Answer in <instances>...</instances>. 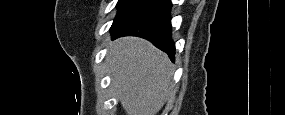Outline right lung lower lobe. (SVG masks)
<instances>
[{
	"label": "right lung lower lobe",
	"mask_w": 285,
	"mask_h": 115,
	"mask_svg": "<svg viewBox=\"0 0 285 115\" xmlns=\"http://www.w3.org/2000/svg\"><path fill=\"white\" fill-rule=\"evenodd\" d=\"M171 6L170 0H158L112 31V39L129 35L147 39L166 52L174 61L175 46L171 39Z\"/></svg>",
	"instance_id": "1"
}]
</instances>
